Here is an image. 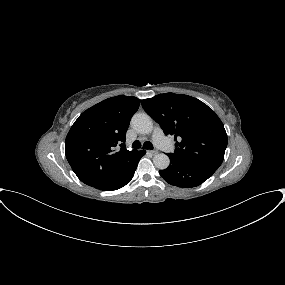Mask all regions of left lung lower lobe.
Segmentation results:
<instances>
[{
    "label": "left lung lower lobe",
    "instance_id": "0a47b994",
    "mask_svg": "<svg viewBox=\"0 0 285 285\" xmlns=\"http://www.w3.org/2000/svg\"><path fill=\"white\" fill-rule=\"evenodd\" d=\"M217 169L200 164L185 163L170 159L168 168L159 171L169 184L178 187H196L211 177Z\"/></svg>",
    "mask_w": 285,
    "mask_h": 285
}]
</instances>
